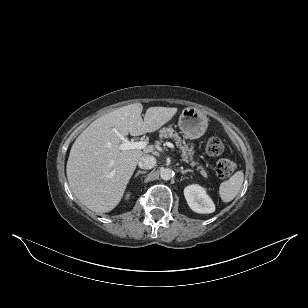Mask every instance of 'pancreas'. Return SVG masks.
<instances>
[{"label": "pancreas", "mask_w": 308, "mask_h": 308, "mask_svg": "<svg viewBox=\"0 0 308 308\" xmlns=\"http://www.w3.org/2000/svg\"><path fill=\"white\" fill-rule=\"evenodd\" d=\"M160 139L173 138L175 140L176 146L181 150L182 157L185 162H190L192 167L197 166V170L200 171L201 175L207 178V171L202 165L193 160V153L191 149L186 144L185 140H182L177 132L172 127H164L159 131Z\"/></svg>", "instance_id": "pancreas-1"}]
</instances>
